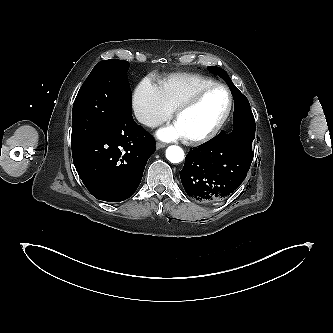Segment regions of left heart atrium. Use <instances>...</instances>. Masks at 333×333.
Returning a JSON list of instances; mask_svg holds the SVG:
<instances>
[{"instance_id": "1", "label": "left heart atrium", "mask_w": 333, "mask_h": 333, "mask_svg": "<svg viewBox=\"0 0 333 333\" xmlns=\"http://www.w3.org/2000/svg\"><path fill=\"white\" fill-rule=\"evenodd\" d=\"M157 136L165 141H172L178 138H184L185 135L177 124L160 129Z\"/></svg>"}]
</instances>
